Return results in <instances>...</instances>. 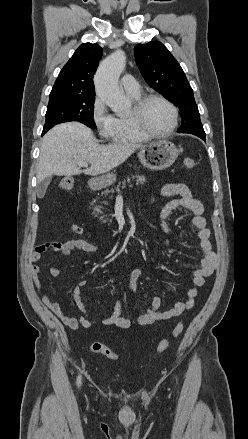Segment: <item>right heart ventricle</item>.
Instances as JSON below:
<instances>
[{
  "label": "right heart ventricle",
  "mask_w": 248,
  "mask_h": 439,
  "mask_svg": "<svg viewBox=\"0 0 248 439\" xmlns=\"http://www.w3.org/2000/svg\"><path fill=\"white\" fill-rule=\"evenodd\" d=\"M135 100L140 98V94H130ZM111 139L117 143L136 144L150 140V137L143 134L135 126L131 113L120 115L116 118V124Z\"/></svg>",
  "instance_id": "e07e8e85"
}]
</instances>
